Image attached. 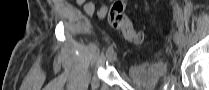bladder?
Masks as SVG:
<instances>
[{"label":"bladder","mask_w":209,"mask_h":90,"mask_svg":"<svg viewBox=\"0 0 209 90\" xmlns=\"http://www.w3.org/2000/svg\"><path fill=\"white\" fill-rule=\"evenodd\" d=\"M168 64L159 61L134 63L128 67V76L136 84L152 87L168 76Z\"/></svg>","instance_id":"bladder-1"}]
</instances>
